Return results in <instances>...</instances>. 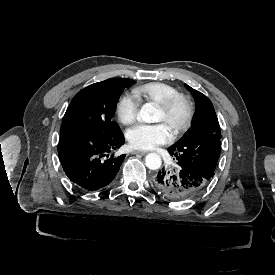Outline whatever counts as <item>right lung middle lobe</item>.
I'll use <instances>...</instances> for the list:
<instances>
[{"label":"right lung middle lobe","instance_id":"obj_1","mask_svg":"<svg viewBox=\"0 0 275 275\" xmlns=\"http://www.w3.org/2000/svg\"><path fill=\"white\" fill-rule=\"evenodd\" d=\"M132 82H98L82 89L66 110L61 134L80 131L110 138L121 132L112 117L122 89Z\"/></svg>","mask_w":275,"mask_h":275}]
</instances>
